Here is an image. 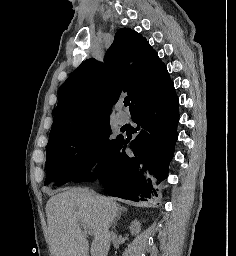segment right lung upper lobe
<instances>
[{"label":"right lung upper lobe","mask_w":236,"mask_h":256,"mask_svg":"<svg viewBox=\"0 0 236 256\" xmlns=\"http://www.w3.org/2000/svg\"><path fill=\"white\" fill-rule=\"evenodd\" d=\"M167 68L141 34L119 29L104 62L84 61L64 82L49 139L109 120L112 105L127 95L130 112L169 83Z\"/></svg>","instance_id":"1"}]
</instances>
